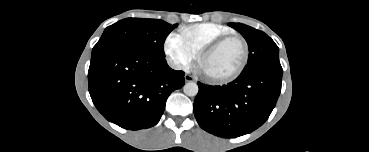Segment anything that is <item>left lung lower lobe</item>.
<instances>
[{
	"instance_id": "left-lung-lower-lobe-1",
	"label": "left lung lower lobe",
	"mask_w": 369,
	"mask_h": 152,
	"mask_svg": "<svg viewBox=\"0 0 369 152\" xmlns=\"http://www.w3.org/2000/svg\"><path fill=\"white\" fill-rule=\"evenodd\" d=\"M283 70L265 69L240 75L223 86L198 82L194 114L205 131L224 138L238 137L260 127L281 92Z\"/></svg>"
}]
</instances>
